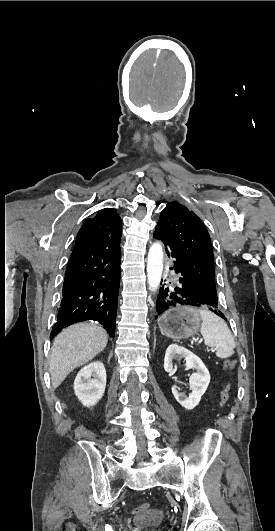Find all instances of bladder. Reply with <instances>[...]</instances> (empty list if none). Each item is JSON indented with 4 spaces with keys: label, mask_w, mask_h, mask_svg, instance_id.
Masks as SVG:
<instances>
[{
    "label": "bladder",
    "mask_w": 275,
    "mask_h": 531,
    "mask_svg": "<svg viewBox=\"0 0 275 531\" xmlns=\"http://www.w3.org/2000/svg\"><path fill=\"white\" fill-rule=\"evenodd\" d=\"M165 512L156 507L151 506L142 513H136V522L139 523L137 531H156V526L163 523Z\"/></svg>",
    "instance_id": "obj_1"
}]
</instances>
